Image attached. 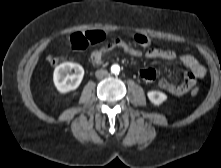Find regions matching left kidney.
Wrapping results in <instances>:
<instances>
[{"label": "left kidney", "mask_w": 221, "mask_h": 168, "mask_svg": "<svg viewBox=\"0 0 221 168\" xmlns=\"http://www.w3.org/2000/svg\"><path fill=\"white\" fill-rule=\"evenodd\" d=\"M147 96L151 103H153L154 105H161L164 101L167 100V95L160 91H149L147 93Z\"/></svg>", "instance_id": "5707ae66"}]
</instances>
